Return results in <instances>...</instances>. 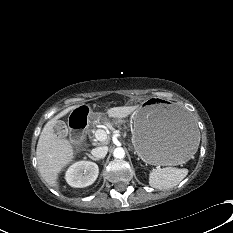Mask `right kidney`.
<instances>
[{"mask_svg":"<svg viewBox=\"0 0 233 233\" xmlns=\"http://www.w3.org/2000/svg\"><path fill=\"white\" fill-rule=\"evenodd\" d=\"M99 168L90 161H78L71 165L65 175L67 183L75 188L91 185L97 179Z\"/></svg>","mask_w":233,"mask_h":233,"instance_id":"1","label":"right kidney"}]
</instances>
